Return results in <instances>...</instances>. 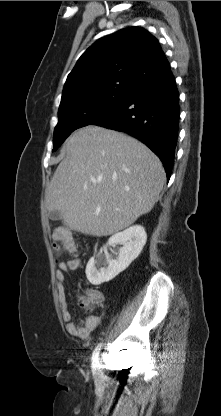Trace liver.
Here are the masks:
<instances>
[{
  "mask_svg": "<svg viewBox=\"0 0 221 416\" xmlns=\"http://www.w3.org/2000/svg\"><path fill=\"white\" fill-rule=\"evenodd\" d=\"M166 180L162 162L122 132L89 125L66 142L45 191L47 210L59 211L70 230L108 236L149 213Z\"/></svg>",
  "mask_w": 221,
  "mask_h": 416,
  "instance_id": "1",
  "label": "liver"
}]
</instances>
